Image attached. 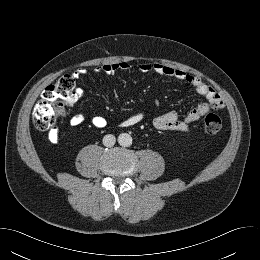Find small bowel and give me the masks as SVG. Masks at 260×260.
Returning <instances> with one entry per match:
<instances>
[{
	"label": "small bowel",
	"instance_id": "c3829d8e",
	"mask_svg": "<svg viewBox=\"0 0 260 260\" xmlns=\"http://www.w3.org/2000/svg\"><path fill=\"white\" fill-rule=\"evenodd\" d=\"M130 68V65L126 61L106 63L102 66H98L95 70L99 73H105L107 75H113L118 71H125ZM140 70L144 73H155L157 75L175 78L180 80L192 88L199 94L207 99V102L202 103L190 110L184 117H179L175 112H168L157 116L153 120V126L159 131H188L190 125L208 113L210 110H221L225 107L224 100L218 94V92L210 85L203 82L200 78L194 75H190L183 70L175 69L167 65L160 63H148L143 62L139 66ZM85 68H78L73 72L75 78H80L86 74ZM79 94H82L79 91ZM145 118L143 112H138L130 115L119 122L120 127H131ZM84 121V115L76 113L70 117L69 123L73 127L81 125ZM92 123L95 127L102 128L107 124V120L103 116H95L92 119ZM49 140L52 143L58 141L57 131L49 134Z\"/></svg>",
	"mask_w": 260,
	"mask_h": 260
}]
</instances>
